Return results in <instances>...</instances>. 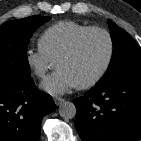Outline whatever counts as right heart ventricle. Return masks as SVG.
I'll return each mask as SVG.
<instances>
[{"label":"right heart ventricle","mask_w":141,"mask_h":141,"mask_svg":"<svg viewBox=\"0 0 141 141\" xmlns=\"http://www.w3.org/2000/svg\"><path fill=\"white\" fill-rule=\"evenodd\" d=\"M89 27L91 26L74 21L57 22L43 31L39 45L52 59L57 60L72 41Z\"/></svg>","instance_id":"right-heart-ventricle-1"}]
</instances>
